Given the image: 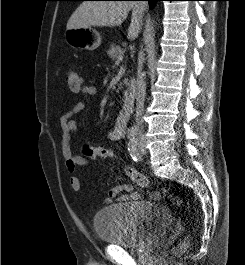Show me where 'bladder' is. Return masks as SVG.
Wrapping results in <instances>:
<instances>
[{
    "instance_id": "bladder-1",
    "label": "bladder",
    "mask_w": 245,
    "mask_h": 265,
    "mask_svg": "<svg viewBox=\"0 0 245 265\" xmlns=\"http://www.w3.org/2000/svg\"><path fill=\"white\" fill-rule=\"evenodd\" d=\"M170 223L164 207L145 200L113 203L93 217V228L101 241L133 249L162 236Z\"/></svg>"
}]
</instances>
